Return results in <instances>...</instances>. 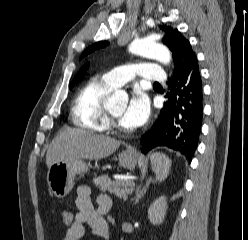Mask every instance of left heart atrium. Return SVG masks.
<instances>
[{
  "label": "left heart atrium",
  "mask_w": 248,
  "mask_h": 240,
  "mask_svg": "<svg viewBox=\"0 0 248 240\" xmlns=\"http://www.w3.org/2000/svg\"><path fill=\"white\" fill-rule=\"evenodd\" d=\"M150 111L147 95L140 89H135L122 116V122L128 128H137L145 123Z\"/></svg>",
  "instance_id": "39dd6f15"
}]
</instances>
